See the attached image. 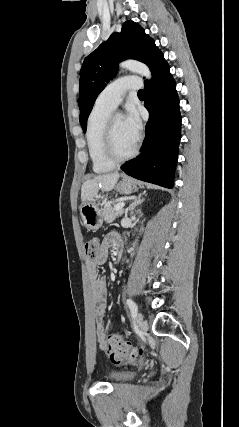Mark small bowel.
<instances>
[{
  "label": "small bowel",
  "instance_id": "c3829d8e",
  "mask_svg": "<svg viewBox=\"0 0 239 427\" xmlns=\"http://www.w3.org/2000/svg\"><path fill=\"white\" fill-rule=\"evenodd\" d=\"M120 243L117 233H109L102 241L99 252L94 259L86 261V270L90 287V306L94 314L99 347L105 349L106 338L103 327V313L106 306V287L103 278L98 276V266L104 264L108 258L110 247H116ZM109 357V355H107ZM110 358V357H109Z\"/></svg>",
  "mask_w": 239,
  "mask_h": 427
}]
</instances>
